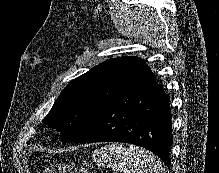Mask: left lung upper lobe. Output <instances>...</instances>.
<instances>
[{
	"label": "left lung upper lobe",
	"mask_w": 219,
	"mask_h": 173,
	"mask_svg": "<svg viewBox=\"0 0 219 173\" xmlns=\"http://www.w3.org/2000/svg\"><path fill=\"white\" fill-rule=\"evenodd\" d=\"M145 62L138 57L107 60L72 80L43 120L56 128L63 142H74L98 113L141 73Z\"/></svg>",
	"instance_id": "left-lung-upper-lobe-1"
}]
</instances>
